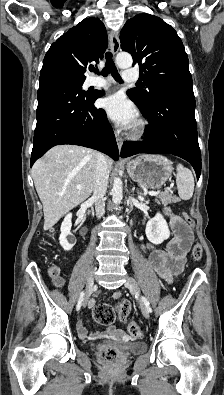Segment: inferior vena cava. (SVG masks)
<instances>
[{
    "mask_svg": "<svg viewBox=\"0 0 224 395\" xmlns=\"http://www.w3.org/2000/svg\"><path fill=\"white\" fill-rule=\"evenodd\" d=\"M109 173L110 169L107 157L103 153H98L93 188V199L95 201L97 218H101L105 213V194L108 186Z\"/></svg>",
    "mask_w": 224,
    "mask_h": 395,
    "instance_id": "obj_1",
    "label": "inferior vena cava"
}]
</instances>
